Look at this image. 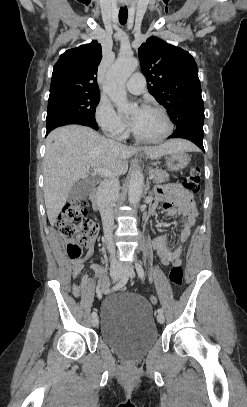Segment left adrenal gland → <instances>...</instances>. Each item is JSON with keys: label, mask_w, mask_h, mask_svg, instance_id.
Returning <instances> with one entry per match:
<instances>
[{"label": "left adrenal gland", "mask_w": 247, "mask_h": 407, "mask_svg": "<svg viewBox=\"0 0 247 407\" xmlns=\"http://www.w3.org/2000/svg\"><path fill=\"white\" fill-rule=\"evenodd\" d=\"M149 189H150V181L147 180V190H149Z\"/></svg>", "instance_id": "a2214340"}]
</instances>
